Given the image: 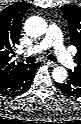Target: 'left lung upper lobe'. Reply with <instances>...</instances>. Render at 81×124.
<instances>
[{
  "mask_svg": "<svg viewBox=\"0 0 81 124\" xmlns=\"http://www.w3.org/2000/svg\"><path fill=\"white\" fill-rule=\"evenodd\" d=\"M61 10L68 21L70 44L74 45L78 50L74 57V62L77 66L74 71H70L81 78V8L76 5H64Z\"/></svg>",
  "mask_w": 81,
  "mask_h": 124,
  "instance_id": "obj_1",
  "label": "left lung upper lobe"
}]
</instances>
